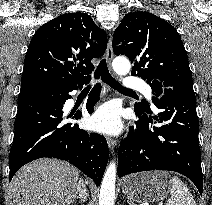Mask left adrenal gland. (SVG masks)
I'll return each mask as SVG.
<instances>
[{
	"label": "left adrenal gland",
	"mask_w": 212,
	"mask_h": 205,
	"mask_svg": "<svg viewBox=\"0 0 212 205\" xmlns=\"http://www.w3.org/2000/svg\"><path fill=\"white\" fill-rule=\"evenodd\" d=\"M129 205H134V204L132 202H130Z\"/></svg>",
	"instance_id": "1"
}]
</instances>
